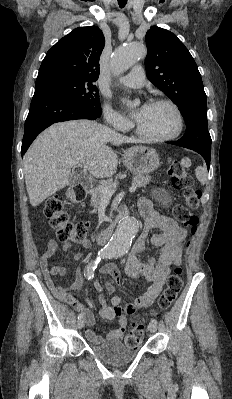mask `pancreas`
Instances as JSON below:
<instances>
[{
	"label": "pancreas",
	"mask_w": 232,
	"mask_h": 399,
	"mask_svg": "<svg viewBox=\"0 0 232 399\" xmlns=\"http://www.w3.org/2000/svg\"><path fill=\"white\" fill-rule=\"evenodd\" d=\"M151 182V176L148 174H135V178L133 180V186L136 188H146L147 184ZM117 186V180H107V184H101V186H97V188H93L90 190L89 194L91 196V205L93 207H98L102 200H105L106 194H103V188H108V190H114Z\"/></svg>",
	"instance_id": "cf45deb5"
}]
</instances>
